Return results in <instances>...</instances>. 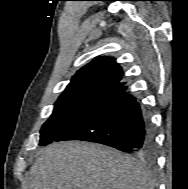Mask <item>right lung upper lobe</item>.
I'll return each mask as SVG.
<instances>
[{
	"mask_svg": "<svg viewBox=\"0 0 188 189\" xmlns=\"http://www.w3.org/2000/svg\"><path fill=\"white\" fill-rule=\"evenodd\" d=\"M122 76V68L114 58L98 57L77 71L63 94L85 91H102L109 94L126 84L120 82Z\"/></svg>",
	"mask_w": 188,
	"mask_h": 189,
	"instance_id": "right-lung-upper-lobe-1",
	"label": "right lung upper lobe"
}]
</instances>
